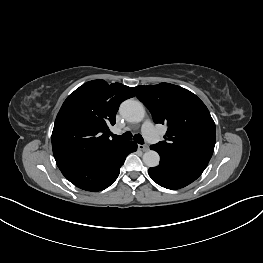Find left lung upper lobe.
<instances>
[{
	"instance_id": "left-lung-upper-lobe-1",
	"label": "left lung upper lobe",
	"mask_w": 263,
	"mask_h": 263,
	"mask_svg": "<svg viewBox=\"0 0 263 263\" xmlns=\"http://www.w3.org/2000/svg\"><path fill=\"white\" fill-rule=\"evenodd\" d=\"M155 123L166 124L165 140L150 149L178 162L206 168L216 128L205 104L192 92L169 83L133 87Z\"/></svg>"
}]
</instances>
